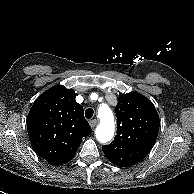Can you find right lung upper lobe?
Masks as SVG:
<instances>
[{
	"instance_id": "1",
	"label": "right lung upper lobe",
	"mask_w": 194,
	"mask_h": 194,
	"mask_svg": "<svg viewBox=\"0 0 194 194\" xmlns=\"http://www.w3.org/2000/svg\"><path fill=\"white\" fill-rule=\"evenodd\" d=\"M76 94L56 85L41 94L27 116V131L38 156L48 163L62 165L75 155L91 127L84 118Z\"/></svg>"
}]
</instances>
